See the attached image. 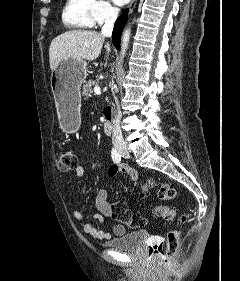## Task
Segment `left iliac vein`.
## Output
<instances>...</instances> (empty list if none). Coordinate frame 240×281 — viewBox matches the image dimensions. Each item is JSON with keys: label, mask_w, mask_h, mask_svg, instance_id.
<instances>
[{"label": "left iliac vein", "mask_w": 240, "mask_h": 281, "mask_svg": "<svg viewBox=\"0 0 240 281\" xmlns=\"http://www.w3.org/2000/svg\"><path fill=\"white\" fill-rule=\"evenodd\" d=\"M123 157H124V158H129L130 155H129V154H124Z\"/></svg>", "instance_id": "1"}]
</instances>
